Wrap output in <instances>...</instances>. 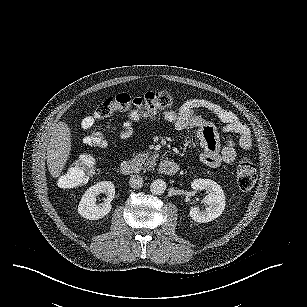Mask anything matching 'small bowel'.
<instances>
[{"label": "small bowel", "mask_w": 307, "mask_h": 307, "mask_svg": "<svg viewBox=\"0 0 307 307\" xmlns=\"http://www.w3.org/2000/svg\"><path fill=\"white\" fill-rule=\"evenodd\" d=\"M200 109L207 110L215 115L222 123V132L232 134L236 139H230L222 145L219 131L212 123L202 119L198 114ZM163 117L176 130L196 129L203 151L201 160L211 167L233 163L237 156L235 148L237 144L245 150L252 147L251 133L247 125L235 113L213 101L199 98L189 99L176 109L165 111ZM154 118L155 115L151 112L132 110L121 125L118 132L119 139L127 140L130 138L135 123L141 120H153Z\"/></svg>", "instance_id": "small-bowel-1"}]
</instances>
